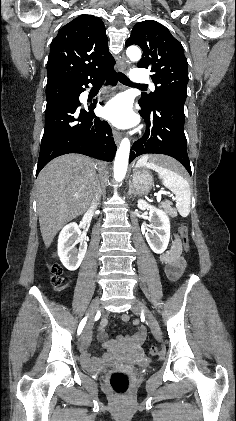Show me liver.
Here are the masks:
<instances>
[{"label":"liver","mask_w":236,"mask_h":421,"mask_svg":"<svg viewBox=\"0 0 236 421\" xmlns=\"http://www.w3.org/2000/svg\"><path fill=\"white\" fill-rule=\"evenodd\" d=\"M148 156L158 164H169L173 160L161 154ZM96 168H106V162H95L83 154H62L39 172L36 178L37 211L46 249L66 223L87 211L98 182ZM73 194H79V198H73Z\"/></svg>","instance_id":"liver-1"}]
</instances>
